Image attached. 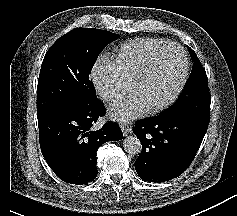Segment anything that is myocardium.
<instances>
[{
  "label": "myocardium",
  "instance_id": "obj_1",
  "mask_svg": "<svg viewBox=\"0 0 237 216\" xmlns=\"http://www.w3.org/2000/svg\"><path fill=\"white\" fill-rule=\"evenodd\" d=\"M178 56H177V55ZM176 54H168L165 53L163 55L157 56L153 58L151 61H148L146 65H139L138 66V74L134 77L132 84L130 86V98H136V87L138 84L139 79L143 74H149L153 69L162 66L165 63H176L178 61V72L176 75V81L173 84L171 90L168 94L161 100L157 102L151 101H140L143 106L153 108L162 105L165 101L171 100L177 94V92L182 88L184 76H185V69H186V62L187 57L182 48L179 47V51Z\"/></svg>",
  "mask_w": 237,
  "mask_h": 216
}]
</instances>
